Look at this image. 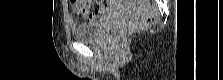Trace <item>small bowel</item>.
<instances>
[{
  "mask_svg": "<svg viewBox=\"0 0 223 80\" xmlns=\"http://www.w3.org/2000/svg\"><path fill=\"white\" fill-rule=\"evenodd\" d=\"M87 11L83 12L80 7L76 4H73V10L82 15L88 21H94L102 16L107 10L113 6V2L105 1L100 2L96 7H91L89 2H86Z\"/></svg>",
  "mask_w": 223,
  "mask_h": 80,
  "instance_id": "small-bowel-1",
  "label": "small bowel"
}]
</instances>
